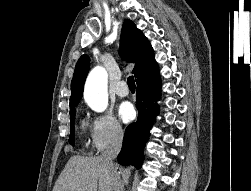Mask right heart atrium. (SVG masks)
<instances>
[{
	"label": "right heart atrium",
	"instance_id": "obj_1",
	"mask_svg": "<svg viewBox=\"0 0 251 191\" xmlns=\"http://www.w3.org/2000/svg\"><path fill=\"white\" fill-rule=\"evenodd\" d=\"M124 131L111 113L94 116L90 127L92 148L101 152L111 145L121 143Z\"/></svg>",
	"mask_w": 251,
	"mask_h": 191
}]
</instances>
